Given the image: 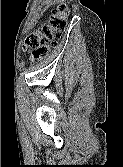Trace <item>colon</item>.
Returning <instances> with one entry per match:
<instances>
[{
    "label": "colon",
    "instance_id": "obj_1",
    "mask_svg": "<svg viewBox=\"0 0 123 167\" xmlns=\"http://www.w3.org/2000/svg\"><path fill=\"white\" fill-rule=\"evenodd\" d=\"M68 15L69 6L65 2L60 3L48 22L26 37L25 47L31 51L33 62L42 61L48 56L50 46L56 43V38L66 29Z\"/></svg>",
    "mask_w": 123,
    "mask_h": 167
}]
</instances>
